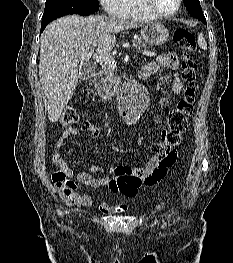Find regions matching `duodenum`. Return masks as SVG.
I'll return each instance as SVG.
<instances>
[{"label": "duodenum", "mask_w": 233, "mask_h": 263, "mask_svg": "<svg viewBox=\"0 0 233 263\" xmlns=\"http://www.w3.org/2000/svg\"><path fill=\"white\" fill-rule=\"evenodd\" d=\"M95 76L94 69H87L83 73V80L90 81ZM138 79H144L147 77V74L141 70L136 75ZM127 82L125 75H116L115 78H108L104 80V85H98L97 89L95 90V97L96 98H104L107 99V94H112V92H117L121 89L122 83Z\"/></svg>", "instance_id": "obj_1"}]
</instances>
